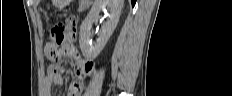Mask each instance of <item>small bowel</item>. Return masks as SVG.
I'll return each mask as SVG.
<instances>
[{
    "instance_id": "small-bowel-1",
    "label": "small bowel",
    "mask_w": 232,
    "mask_h": 96,
    "mask_svg": "<svg viewBox=\"0 0 232 96\" xmlns=\"http://www.w3.org/2000/svg\"><path fill=\"white\" fill-rule=\"evenodd\" d=\"M79 16V11H69V15H65V20H67V25H66V31L65 34L67 35V39H77L78 35L77 33L81 31V28L79 26V19H77ZM50 45L47 43L46 44V49L49 48ZM69 57H76L79 58L78 53H73L71 52L69 54ZM84 68H95V63H86L82 62L78 66V70L81 71L80 76L84 78L85 71L83 70ZM64 82V77H63V71L59 70V68L55 66H50L47 70V74L44 79V85H45V95H50L51 94V88L52 85H62ZM81 85L80 83H73L70 85L68 89V96H79L81 93Z\"/></svg>"
}]
</instances>
